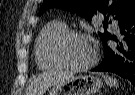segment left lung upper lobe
Wrapping results in <instances>:
<instances>
[{
	"mask_svg": "<svg viewBox=\"0 0 135 95\" xmlns=\"http://www.w3.org/2000/svg\"><path fill=\"white\" fill-rule=\"evenodd\" d=\"M53 6L76 12L88 20H91L92 16L98 13L108 14L105 23L110 15H113L119 23L135 12V0H44L40 15ZM109 35L110 33L107 31L99 33L101 40Z\"/></svg>",
	"mask_w": 135,
	"mask_h": 95,
	"instance_id": "1",
	"label": "left lung upper lobe"
}]
</instances>
